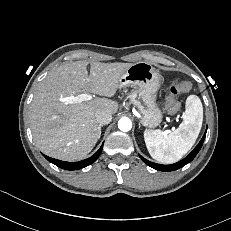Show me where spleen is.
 <instances>
[{"label":"spleen","mask_w":231,"mask_h":231,"mask_svg":"<svg viewBox=\"0 0 231 231\" xmlns=\"http://www.w3.org/2000/svg\"><path fill=\"white\" fill-rule=\"evenodd\" d=\"M183 121L175 131L162 133L146 130L144 140L149 154L163 164L179 161L194 145L203 121V107L198 96L190 95L186 100Z\"/></svg>","instance_id":"spleen-1"}]
</instances>
